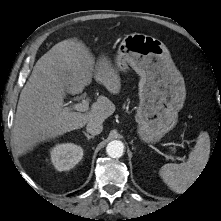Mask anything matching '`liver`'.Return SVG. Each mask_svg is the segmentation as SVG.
<instances>
[{
    "instance_id": "1",
    "label": "liver",
    "mask_w": 221,
    "mask_h": 221,
    "mask_svg": "<svg viewBox=\"0 0 221 221\" xmlns=\"http://www.w3.org/2000/svg\"><path fill=\"white\" fill-rule=\"evenodd\" d=\"M93 76L110 93L120 92V76L110 61L102 57L95 65L89 48L77 38L57 43L36 62L20 93L15 114L13 140L18 153L82 128L92 120L103 123L114 113L115 105L105 96H99L87 113L65 106V92L81 93Z\"/></svg>"
}]
</instances>
